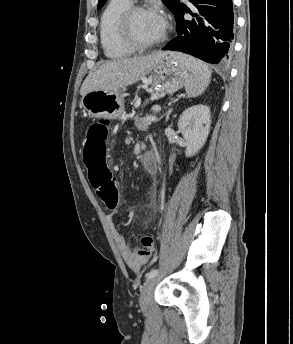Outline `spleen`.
<instances>
[{"label":"spleen","mask_w":293,"mask_h":344,"mask_svg":"<svg viewBox=\"0 0 293 344\" xmlns=\"http://www.w3.org/2000/svg\"><path fill=\"white\" fill-rule=\"evenodd\" d=\"M191 72L190 77L185 82V91L189 97L201 95L210 83L212 71L202 61L183 54L172 53Z\"/></svg>","instance_id":"3e777b00"}]
</instances>
